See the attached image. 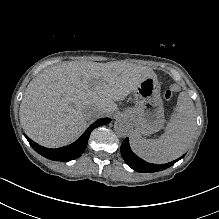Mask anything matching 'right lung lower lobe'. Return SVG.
Instances as JSON below:
<instances>
[{"instance_id":"right-lung-lower-lobe-1","label":"right lung lower lobe","mask_w":219,"mask_h":219,"mask_svg":"<svg viewBox=\"0 0 219 219\" xmlns=\"http://www.w3.org/2000/svg\"><path fill=\"white\" fill-rule=\"evenodd\" d=\"M111 121L109 118H102L94 122L92 125L88 127V129L83 133V135L74 143L57 149H49L42 147L28 138L26 135V139L33 147V149L41 154L42 156L54 160V161H70L76 159L82 155L87 147V142L90 136V133L93 129L100 125H106Z\"/></svg>"}]
</instances>
